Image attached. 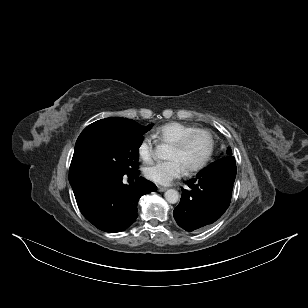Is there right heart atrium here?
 Returning a JSON list of instances; mask_svg holds the SVG:
<instances>
[{
    "instance_id": "obj_1",
    "label": "right heart atrium",
    "mask_w": 308,
    "mask_h": 308,
    "mask_svg": "<svg viewBox=\"0 0 308 308\" xmlns=\"http://www.w3.org/2000/svg\"><path fill=\"white\" fill-rule=\"evenodd\" d=\"M155 151V142L150 136H144L138 144L137 153L140 159L149 163L152 161Z\"/></svg>"
}]
</instances>
